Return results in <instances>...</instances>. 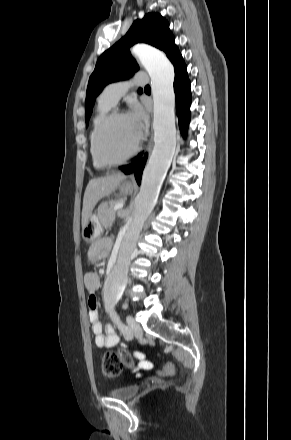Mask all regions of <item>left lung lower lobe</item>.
Here are the masks:
<instances>
[{"label":"left lung lower lobe","instance_id":"obj_1","mask_svg":"<svg viewBox=\"0 0 291 440\" xmlns=\"http://www.w3.org/2000/svg\"><path fill=\"white\" fill-rule=\"evenodd\" d=\"M175 69L174 91L176 96V112L179 118V126L183 136L186 135L188 123L190 121L189 107L191 104L190 81L187 75V67L181 55L173 62ZM143 153L139 154L134 162L129 165L120 166L119 169L125 174L135 173L138 184L141 182L142 171L144 169Z\"/></svg>","mask_w":291,"mask_h":440}]
</instances>
